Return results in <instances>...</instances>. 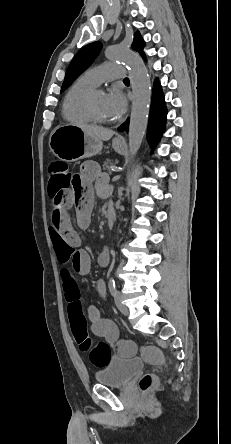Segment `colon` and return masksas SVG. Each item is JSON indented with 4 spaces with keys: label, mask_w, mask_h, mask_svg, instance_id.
<instances>
[{
    "label": "colon",
    "mask_w": 231,
    "mask_h": 444,
    "mask_svg": "<svg viewBox=\"0 0 231 444\" xmlns=\"http://www.w3.org/2000/svg\"><path fill=\"white\" fill-rule=\"evenodd\" d=\"M49 185L48 193L52 200V205L58 207L65 189L71 187L77 175L70 170V168L61 161H54L50 164L49 170ZM69 319L71 325L72 335L79 345V348L84 353L88 354L90 361L96 367L105 366L111 357V346L105 342L94 344L88 335L87 321L84 316L81 302L78 298H70L69 300ZM114 347L119 352H130L135 349V344L130 340H124ZM142 357L154 364H159L163 360V355L160 349L155 346H143L141 348ZM156 384L154 375L144 374L139 382L140 388L143 392H148Z\"/></svg>",
    "instance_id": "colon-1"
}]
</instances>
